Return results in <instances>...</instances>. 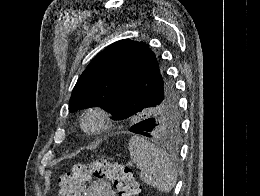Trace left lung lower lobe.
Masks as SVG:
<instances>
[{
    "instance_id": "0a47b994",
    "label": "left lung lower lobe",
    "mask_w": 260,
    "mask_h": 196,
    "mask_svg": "<svg viewBox=\"0 0 260 196\" xmlns=\"http://www.w3.org/2000/svg\"><path fill=\"white\" fill-rule=\"evenodd\" d=\"M111 113L114 115L113 119L115 120H126L133 115L134 110H130L128 108L125 109L124 111H122V109H115ZM154 129H155V122L151 119H146L132 125L129 131L147 137H152Z\"/></svg>"
}]
</instances>
